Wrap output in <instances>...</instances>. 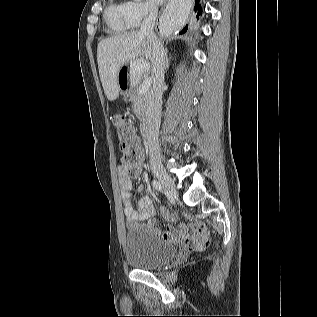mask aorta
I'll use <instances>...</instances> for the list:
<instances>
[{
	"label": "aorta",
	"mask_w": 317,
	"mask_h": 317,
	"mask_svg": "<svg viewBox=\"0 0 317 317\" xmlns=\"http://www.w3.org/2000/svg\"><path fill=\"white\" fill-rule=\"evenodd\" d=\"M180 22L181 17L179 16V14L173 11L172 9H168V11H166V13L163 15L161 22V30L166 34H170L179 27Z\"/></svg>",
	"instance_id": "1"
}]
</instances>
